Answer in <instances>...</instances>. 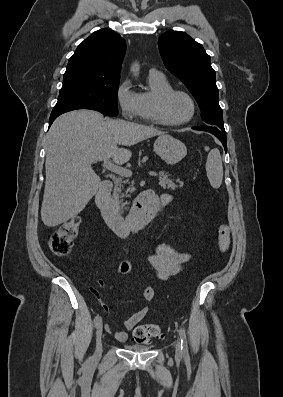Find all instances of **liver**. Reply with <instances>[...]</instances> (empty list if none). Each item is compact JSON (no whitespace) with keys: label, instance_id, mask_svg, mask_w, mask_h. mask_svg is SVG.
<instances>
[{"label":"liver","instance_id":"6515ba94","mask_svg":"<svg viewBox=\"0 0 283 397\" xmlns=\"http://www.w3.org/2000/svg\"><path fill=\"white\" fill-rule=\"evenodd\" d=\"M164 132L124 120H105L94 110H75L58 117L47 138L46 182L41 218L48 227L60 225L78 215L96 194L100 177L94 160L128 162L132 152L118 146H132Z\"/></svg>","mask_w":283,"mask_h":397}]
</instances>
